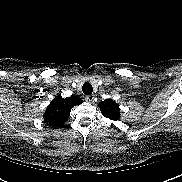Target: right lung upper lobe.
Segmentation results:
<instances>
[{"label": "right lung upper lobe", "instance_id": "right-lung-upper-lobe-1", "mask_svg": "<svg viewBox=\"0 0 182 182\" xmlns=\"http://www.w3.org/2000/svg\"><path fill=\"white\" fill-rule=\"evenodd\" d=\"M82 102L78 96L67 98H62L61 95L56 96L43 115L44 121L51 126L61 127L68 120L71 109Z\"/></svg>", "mask_w": 182, "mask_h": 182}]
</instances>
